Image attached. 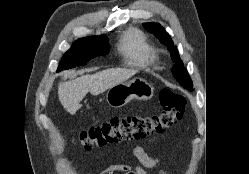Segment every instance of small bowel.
I'll return each mask as SVG.
<instances>
[{
    "label": "small bowel",
    "mask_w": 249,
    "mask_h": 174,
    "mask_svg": "<svg viewBox=\"0 0 249 174\" xmlns=\"http://www.w3.org/2000/svg\"><path fill=\"white\" fill-rule=\"evenodd\" d=\"M159 139L158 137H154L152 141ZM133 154L137 160V164L134 166H130L127 164H113L106 169H104L101 174H116L121 172L123 174H146L145 168H154L160 162L161 159L157 157L149 156L142 146H136L133 149ZM160 174H164L161 172Z\"/></svg>",
    "instance_id": "1"
}]
</instances>
